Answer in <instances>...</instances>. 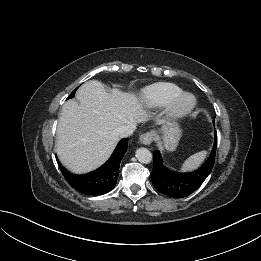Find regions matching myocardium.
Instances as JSON below:
<instances>
[{"label":"myocardium","instance_id":"obj_1","mask_svg":"<svg viewBox=\"0 0 261 261\" xmlns=\"http://www.w3.org/2000/svg\"><path fill=\"white\" fill-rule=\"evenodd\" d=\"M197 105V98L190 92H182L167 107V117L177 120L190 114Z\"/></svg>","mask_w":261,"mask_h":261}]
</instances>
